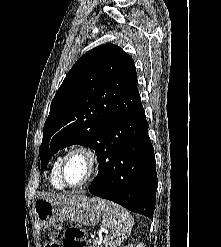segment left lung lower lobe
<instances>
[{
    "instance_id": "obj_1",
    "label": "left lung lower lobe",
    "mask_w": 221,
    "mask_h": 247,
    "mask_svg": "<svg viewBox=\"0 0 221 247\" xmlns=\"http://www.w3.org/2000/svg\"><path fill=\"white\" fill-rule=\"evenodd\" d=\"M147 129L143 107L114 119L104 128L97 153L99 172L89 191L152 219L157 173Z\"/></svg>"
}]
</instances>
